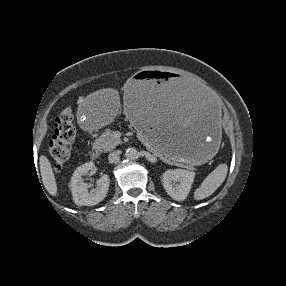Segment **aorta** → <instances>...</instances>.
<instances>
[{
  "instance_id": "aorta-1",
  "label": "aorta",
  "mask_w": 286,
  "mask_h": 286,
  "mask_svg": "<svg viewBox=\"0 0 286 286\" xmlns=\"http://www.w3.org/2000/svg\"><path fill=\"white\" fill-rule=\"evenodd\" d=\"M125 156L127 159L134 160L138 158V151L135 148H128L126 150Z\"/></svg>"
}]
</instances>
